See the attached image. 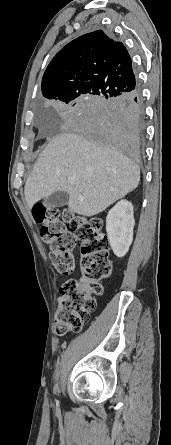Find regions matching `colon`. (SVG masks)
<instances>
[{
	"label": "colon",
	"mask_w": 171,
	"mask_h": 445,
	"mask_svg": "<svg viewBox=\"0 0 171 445\" xmlns=\"http://www.w3.org/2000/svg\"><path fill=\"white\" fill-rule=\"evenodd\" d=\"M34 217L41 225V238L49 245V256L58 272L69 275L74 270L73 250L81 254V276L66 281L60 288L55 330L58 335L78 332L96 307L102 294L101 280L111 273L108 239L103 221L95 216L62 215L57 209L38 206Z\"/></svg>",
	"instance_id": "5ec220e1"
}]
</instances>
